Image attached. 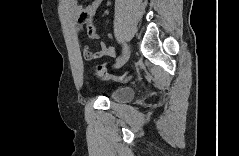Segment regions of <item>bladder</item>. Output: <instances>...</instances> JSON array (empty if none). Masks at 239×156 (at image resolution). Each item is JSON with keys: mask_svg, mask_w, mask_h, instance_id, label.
<instances>
[{"mask_svg": "<svg viewBox=\"0 0 239 156\" xmlns=\"http://www.w3.org/2000/svg\"><path fill=\"white\" fill-rule=\"evenodd\" d=\"M135 91L131 87H117L110 91L109 98L118 103H128L134 98Z\"/></svg>", "mask_w": 239, "mask_h": 156, "instance_id": "bladder-1", "label": "bladder"}]
</instances>
